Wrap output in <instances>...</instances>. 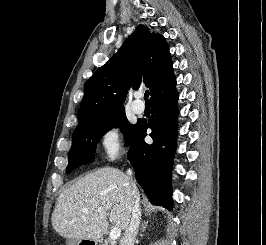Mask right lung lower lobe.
Masks as SVG:
<instances>
[{
  "label": "right lung lower lobe",
  "instance_id": "obj_1",
  "mask_svg": "<svg viewBox=\"0 0 266 245\" xmlns=\"http://www.w3.org/2000/svg\"><path fill=\"white\" fill-rule=\"evenodd\" d=\"M176 81L162 92L150 98L152 115L148 120H139L135 125L130 142L128 159L134 167L136 179L145 191L150 202L172 209L170 175L177 134L178 93ZM153 144L144 141L146 130ZM166 145L164 149L160 146Z\"/></svg>",
  "mask_w": 266,
  "mask_h": 245
}]
</instances>
